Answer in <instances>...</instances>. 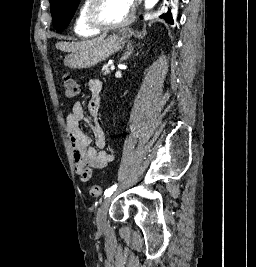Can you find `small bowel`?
Segmentation results:
<instances>
[{
  "mask_svg": "<svg viewBox=\"0 0 256 267\" xmlns=\"http://www.w3.org/2000/svg\"><path fill=\"white\" fill-rule=\"evenodd\" d=\"M102 87L99 79H90L88 82L90 118L85 116L83 105L80 102L74 103L66 117L65 127L72 148L75 171L84 180L89 179L93 171L104 168L114 160V155L104 150L106 138L97 121ZM82 120L88 123L91 137L80 128L79 123Z\"/></svg>",
  "mask_w": 256,
  "mask_h": 267,
  "instance_id": "obj_1",
  "label": "small bowel"
}]
</instances>
